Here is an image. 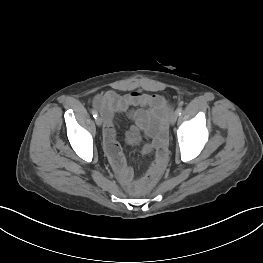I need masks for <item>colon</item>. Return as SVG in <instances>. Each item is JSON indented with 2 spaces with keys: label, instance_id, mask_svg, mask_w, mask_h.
I'll list each match as a JSON object with an SVG mask.
<instances>
[{
  "label": "colon",
  "instance_id": "1",
  "mask_svg": "<svg viewBox=\"0 0 263 263\" xmlns=\"http://www.w3.org/2000/svg\"><path fill=\"white\" fill-rule=\"evenodd\" d=\"M158 174L159 173L156 171H152V172L148 171L146 177L143 180L137 182L136 185L132 188V190L137 191L138 189L144 187L148 183L153 182L157 178Z\"/></svg>",
  "mask_w": 263,
  "mask_h": 263
}]
</instances>
